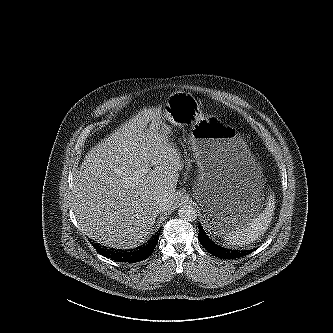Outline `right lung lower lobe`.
Returning <instances> with one entry per match:
<instances>
[{
	"label": "right lung lower lobe",
	"instance_id": "1",
	"mask_svg": "<svg viewBox=\"0 0 333 333\" xmlns=\"http://www.w3.org/2000/svg\"><path fill=\"white\" fill-rule=\"evenodd\" d=\"M158 239H159V233H156L144 245L130 252H120L116 250L107 249L106 247L94 243V241L92 242V245L97 250V252L104 257L111 258L118 262L134 263L147 259L153 252L154 248L156 247Z\"/></svg>",
	"mask_w": 333,
	"mask_h": 333
}]
</instances>
